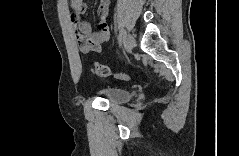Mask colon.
Segmentation results:
<instances>
[{"instance_id":"obj_1","label":"colon","mask_w":239,"mask_h":156,"mask_svg":"<svg viewBox=\"0 0 239 156\" xmlns=\"http://www.w3.org/2000/svg\"><path fill=\"white\" fill-rule=\"evenodd\" d=\"M93 69H94L96 75H98L100 77H115V78L121 79V80H129L130 79V77L127 74L121 73V72H114L109 67H107L105 65H101L99 63H93Z\"/></svg>"}]
</instances>
